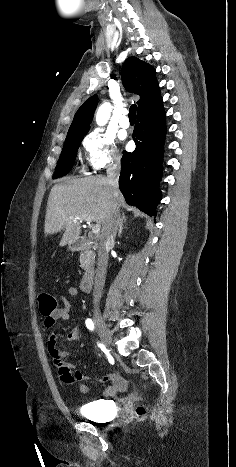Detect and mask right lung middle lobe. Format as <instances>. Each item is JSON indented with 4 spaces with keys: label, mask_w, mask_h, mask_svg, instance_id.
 I'll return each instance as SVG.
<instances>
[{
    "label": "right lung middle lobe",
    "mask_w": 236,
    "mask_h": 467,
    "mask_svg": "<svg viewBox=\"0 0 236 467\" xmlns=\"http://www.w3.org/2000/svg\"><path fill=\"white\" fill-rule=\"evenodd\" d=\"M86 133L67 135L53 179L67 175L72 169L79 145Z\"/></svg>",
    "instance_id": "dd1d6c3e"
}]
</instances>
